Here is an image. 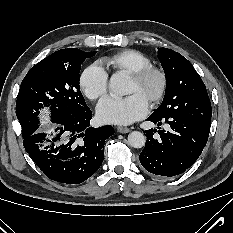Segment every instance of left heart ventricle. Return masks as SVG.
Masks as SVG:
<instances>
[{"label":"left heart ventricle","instance_id":"b2bd125f","mask_svg":"<svg viewBox=\"0 0 233 233\" xmlns=\"http://www.w3.org/2000/svg\"><path fill=\"white\" fill-rule=\"evenodd\" d=\"M158 89V79L155 76L148 77L142 83H137L134 80H130L127 94H138L140 95L147 103L155 95Z\"/></svg>","mask_w":233,"mask_h":233}]
</instances>
